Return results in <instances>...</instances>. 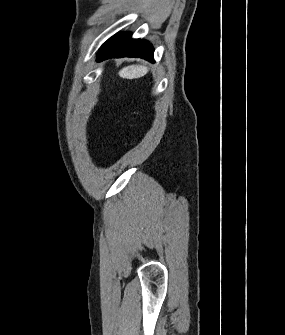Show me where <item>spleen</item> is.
<instances>
[{"instance_id": "1", "label": "spleen", "mask_w": 285, "mask_h": 335, "mask_svg": "<svg viewBox=\"0 0 285 335\" xmlns=\"http://www.w3.org/2000/svg\"><path fill=\"white\" fill-rule=\"evenodd\" d=\"M146 72H148V70L144 68V66H130L127 76L128 78H141Z\"/></svg>"}]
</instances>
